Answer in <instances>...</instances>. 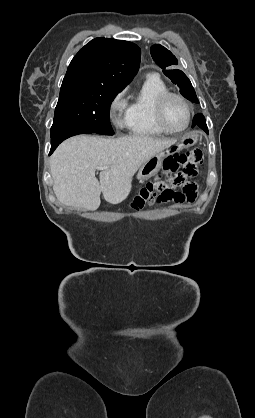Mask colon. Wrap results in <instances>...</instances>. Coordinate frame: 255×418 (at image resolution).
<instances>
[{"label":"colon","instance_id":"colon-1","mask_svg":"<svg viewBox=\"0 0 255 418\" xmlns=\"http://www.w3.org/2000/svg\"><path fill=\"white\" fill-rule=\"evenodd\" d=\"M202 161L203 154L198 148L167 158L164 163V177L158 176L148 182L134 197L130 208L141 211L154 200L194 201L198 190L192 178L197 175Z\"/></svg>","mask_w":255,"mask_h":418}]
</instances>
